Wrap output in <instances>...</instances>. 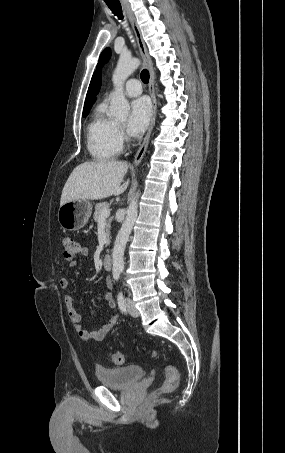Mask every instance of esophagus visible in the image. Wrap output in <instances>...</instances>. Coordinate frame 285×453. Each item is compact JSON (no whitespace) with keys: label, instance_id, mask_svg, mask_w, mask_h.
I'll return each mask as SVG.
<instances>
[{"label":"esophagus","instance_id":"esophagus-1","mask_svg":"<svg viewBox=\"0 0 285 453\" xmlns=\"http://www.w3.org/2000/svg\"><path fill=\"white\" fill-rule=\"evenodd\" d=\"M123 5H124V9L127 13V16L129 18V21L132 25V28L134 30L141 57L144 61L145 66L147 67V69L149 71V76H150L148 90H149V94H150L151 100H152V112H151V119H150V124H149L147 134L134 157L133 165L138 166L141 163V161L145 155V152H146L148 144H149V139H150L152 130L155 125L156 110H157V100H156L155 88H154L155 74H154L153 63H152L151 57L148 54L147 47L145 45V42L143 40L141 31L135 20V17L133 15L130 7L128 6V4L125 1L123 2Z\"/></svg>","mask_w":285,"mask_h":453}]
</instances>
